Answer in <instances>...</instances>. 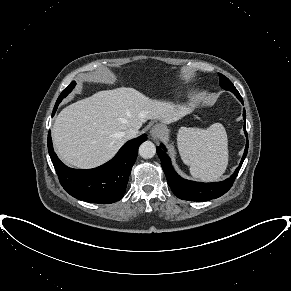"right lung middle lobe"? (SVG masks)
<instances>
[{"label": "right lung middle lobe", "mask_w": 291, "mask_h": 291, "mask_svg": "<svg viewBox=\"0 0 291 291\" xmlns=\"http://www.w3.org/2000/svg\"><path fill=\"white\" fill-rule=\"evenodd\" d=\"M75 85H76V82L73 81V82L70 83V85L67 88H65L62 91V93L60 94V96L58 97V99L56 101L55 107L53 109V113L56 111L59 103L72 91V89L75 87Z\"/></svg>", "instance_id": "1"}]
</instances>
